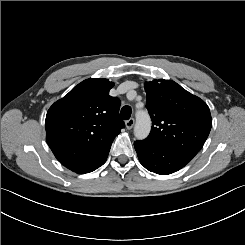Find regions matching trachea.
I'll list each match as a JSON object with an SVG mask.
<instances>
[{
  "instance_id": "1",
  "label": "trachea",
  "mask_w": 245,
  "mask_h": 245,
  "mask_svg": "<svg viewBox=\"0 0 245 245\" xmlns=\"http://www.w3.org/2000/svg\"><path fill=\"white\" fill-rule=\"evenodd\" d=\"M132 113V109L130 106L125 105L122 109H121V117L125 120H128L131 116Z\"/></svg>"
}]
</instances>
